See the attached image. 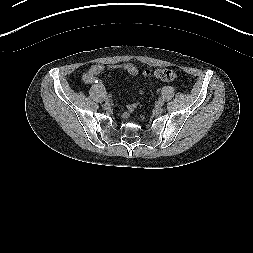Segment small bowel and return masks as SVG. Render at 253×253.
I'll list each match as a JSON object with an SVG mask.
<instances>
[{
    "label": "small bowel",
    "instance_id": "small-bowel-1",
    "mask_svg": "<svg viewBox=\"0 0 253 253\" xmlns=\"http://www.w3.org/2000/svg\"><path fill=\"white\" fill-rule=\"evenodd\" d=\"M104 69V66L94 65L92 66L84 75L83 79L86 83H92L95 81L96 76ZM127 71L132 75L138 74V69L133 64H128L126 66Z\"/></svg>",
    "mask_w": 253,
    "mask_h": 253
}]
</instances>
